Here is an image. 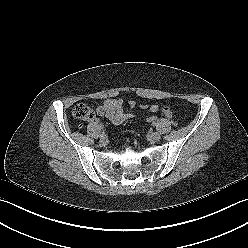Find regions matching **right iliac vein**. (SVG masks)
I'll return each mask as SVG.
<instances>
[{
  "label": "right iliac vein",
  "instance_id": "1",
  "mask_svg": "<svg viewBox=\"0 0 248 248\" xmlns=\"http://www.w3.org/2000/svg\"><path fill=\"white\" fill-rule=\"evenodd\" d=\"M100 139H101L102 141H105V140L107 139L106 134L102 132V133L100 134Z\"/></svg>",
  "mask_w": 248,
  "mask_h": 248
}]
</instances>
